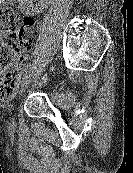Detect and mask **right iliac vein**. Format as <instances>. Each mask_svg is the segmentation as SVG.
I'll return each instance as SVG.
<instances>
[{
    "label": "right iliac vein",
    "mask_w": 133,
    "mask_h": 173,
    "mask_svg": "<svg viewBox=\"0 0 133 173\" xmlns=\"http://www.w3.org/2000/svg\"><path fill=\"white\" fill-rule=\"evenodd\" d=\"M30 82H31V74L26 75V76L23 78L21 87H22V88L26 87Z\"/></svg>",
    "instance_id": "right-iliac-vein-1"
}]
</instances>
